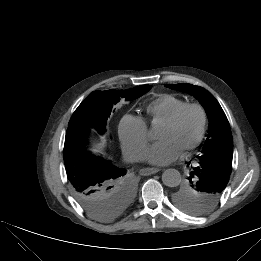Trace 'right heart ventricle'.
<instances>
[{
  "label": "right heart ventricle",
  "instance_id": "obj_1",
  "mask_svg": "<svg viewBox=\"0 0 261 261\" xmlns=\"http://www.w3.org/2000/svg\"><path fill=\"white\" fill-rule=\"evenodd\" d=\"M186 103V100L180 97L169 94L162 95L146 107V113L148 115L147 121L151 124L156 122L163 123Z\"/></svg>",
  "mask_w": 261,
  "mask_h": 261
}]
</instances>
